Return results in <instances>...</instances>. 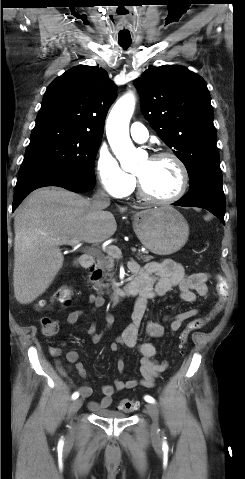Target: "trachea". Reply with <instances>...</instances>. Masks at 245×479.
<instances>
[{
    "mask_svg": "<svg viewBox=\"0 0 245 479\" xmlns=\"http://www.w3.org/2000/svg\"><path fill=\"white\" fill-rule=\"evenodd\" d=\"M119 44L123 49H127L130 46L131 41H119Z\"/></svg>",
    "mask_w": 245,
    "mask_h": 479,
    "instance_id": "3493384b",
    "label": "trachea"
}]
</instances>
